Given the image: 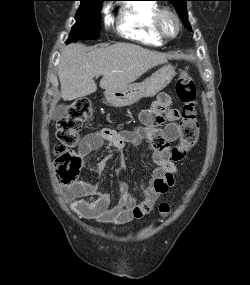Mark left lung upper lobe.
<instances>
[{
  "label": "left lung upper lobe",
  "mask_w": 250,
  "mask_h": 285,
  "mask_svg": "<svg viewBox=\"0 0 250 285\" xmlns=\"http://www.w3.org/2000/svg\"><path fill=\"white\" fill-rule=\"evenodd\" d=\"M167 1H170L172 5L175 7L185 27L191 30V26L188 22V14L186 10V1L188 0H167Z\"/></svg>",
  "instance_id": "left-lung-upper-lobe-1"
}]
</instances>
